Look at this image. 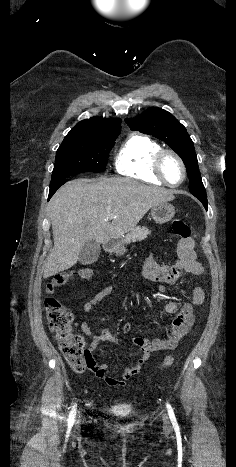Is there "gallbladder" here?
<instances>
[{"instance_id": "bac80fb5", "label": "gallbladder", "mask_w": 236, "mask_h": 467, "mask_svg": "<svg viewBox=\"0 0 236 467\" xmlns=\"http://www.w3.org/2000/svg\"><path fill=\"white\" fill-rule=\"evenodd\" d=\"M101 252L100 244L95 240H88L82 247L79 255V262L82 265L93 264Z\"/></svg>"}]
</instances>
